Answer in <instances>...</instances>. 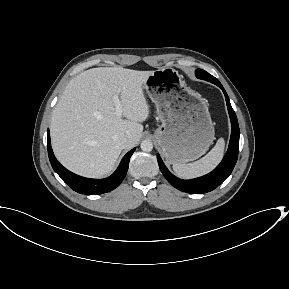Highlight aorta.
<instances>
[{"label":"aorta","mask_w":289,"mask_h":289,"mask_svg":"<svg viewBox=\"0 0 289 289\" xmlns=\"http://www.w3.org/2000/svg\"><path fill=\"white\" fill-rule=\"evenodd\" d=\"M140 147L142 151L150 152L153 149V143L150 140H144L142 141Z\"/></svg>","instance_id":"1"}]
</instances>
